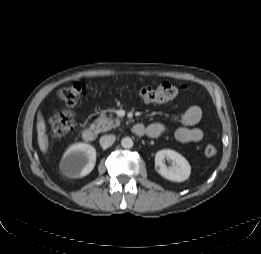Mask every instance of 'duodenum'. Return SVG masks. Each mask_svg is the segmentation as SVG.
Listing matches in <instances>:
<instances>
[{"label":"duodenum","mask_w":261,"mask_h":254,"mask_svg":"<svg viewBox=\"0 0 261 254\" xmlns=\"http://www.w3.org/2000/svg\"><path fill=\"white\" fill-rule=\"evenodd\" d=\"M134 130H135V133L138 134H142V127L138 126V125H135L134 126ZM82 138L87 141V142H92L95 140L96 138V132L94 129L92 128H85L83 131H82Z\"/></svg>","instance_id":"410a0bca"}]
</instances>
